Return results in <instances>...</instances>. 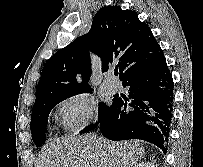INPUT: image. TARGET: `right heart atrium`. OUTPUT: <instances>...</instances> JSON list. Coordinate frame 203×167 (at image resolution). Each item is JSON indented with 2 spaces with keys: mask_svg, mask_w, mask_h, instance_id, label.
Returning <instances> with one entry per match:
<instances>
[{
  "mask_svg": "<svg viewBox=\"0 0 203 167\" xmlns=\"http://www.w3.org/2000/svg\"><path fill=\"white\" fill-rule=\"evenodd\" d=\"M95 109L94 100L84 93L66 97L57 107L63 128L72 133L79 132L93 123Z\"/></svg>",
  "mask_w": 203,
  "mask_h": 167,
  "instance_id": "1",
  "label": "right heart atrium"
}]
</instances>
